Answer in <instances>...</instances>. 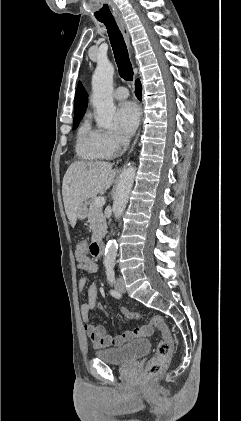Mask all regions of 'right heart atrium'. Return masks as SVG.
Returning a JSON list of instances; mask_svg holds the SVG:
<instances>
[{"instance_id":"obj_1","label":"right heart atrium","mask_w":241,"mask_h":421,"mask_svg":"<svg viewBox=\"0 0 241 421\" xmlns=\"http://www.w3.org/2000/svg\"><path fill=\"white\" fill-rule=\"evenodd\" d=\"M98 141L106 158L114 156L125 145V139L115 131L99 130Z\"/></svg>"}]
</instances>
